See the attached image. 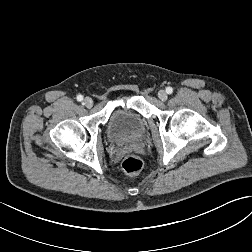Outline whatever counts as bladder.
<instances>
[{
  "label": "bladder",
  "mask_w": 252,
  "mask_h": 252,
  "mask_svg": "<svg viewBox=\"0 0 252 252\" xmlns=\"http://www.w3.org/2000/svg\"><path fill=\"white\" fill-rule=\"evenodd\" d=\"M145 132L146 122L139 114L124 108H116L111 113L107 124V136L111 141H137Z\"/></svg>",
  "instance_id": "obj_1"
}]
</instances>
